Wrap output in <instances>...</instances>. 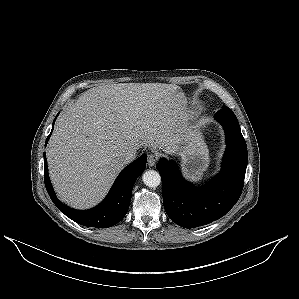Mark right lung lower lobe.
Instances as JSON below:
<instances>
[{"mask_svg":"<svg viewBox=\"0 0 299 299\" xmlns=\"http://www.w3.org/2000/svg\"><path fill=\"white\" fill-rule=\"evenodd\" d=\"M54 128V122L51 133ZM51 133L46 139L47 144ZM44 181L48 194L53 203L73 221L93 228H108L120 222L127 213L130 205L132 188L137 177L146 167L147 156L143 154L129 164L117 177L107 197L96 207L79 211L60 202L53 191L47 168L46 154L44 153Z\"/></svg>","mask_w":299,"mask_h":299,"instance_id":"1","label":"right lung lower lobe"}]
</instances>
